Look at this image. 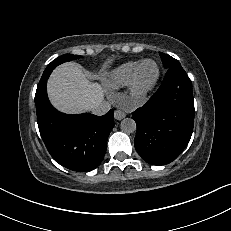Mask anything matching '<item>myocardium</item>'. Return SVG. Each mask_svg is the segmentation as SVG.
Returning a JSON list of instances; mask_svg holds the SVG:
<instances>
[{"label":"myocardium","instance_id":"1","mask_svg":"<svg viewBox=\"0 0 231 231\" xmlns=\"http://www.w3.org/2000/svg\"><path fill=\"white\" fill-rule=\"evenodd\" d=\"M149 62L153 63L156 66V69H157L156 76L147 86L140 87L138 84L139 73L142 67L146 63H149ZM160 76H161V70H160L158 63L155 60H152V59L143 60L135 69L132 75V78L130 80V83H129V95H130L131 100L136 104L144 103L146 99L148 98L149 94L153 91V89L157 85L160 79Z\"/></svg>","mask_w":231,"mask_h":231}]
</instances>
